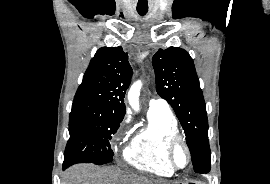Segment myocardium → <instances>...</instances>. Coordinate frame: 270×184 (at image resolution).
Masks as SVG:
<instances>
[{"label":"myocardium","instance_id":"1","mask_svg":"<svg viewBox=\"0 0 270 184\" xmlns=\"http://www.w3.org/2000/svg\"><path fill=\"white\" fill-rule=\"evenodd\" d=\"M178 145H182L187 154V163L183 167H179L174 161V151ZM165 154L168 164L174 171L184 170L188 168L192 160V153L189 144L185 139V137L181 135L179 132L171 135L168 138Z\"/></svg>","mask_w":270,"mask_h":184}]
</instances>
